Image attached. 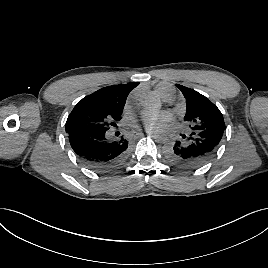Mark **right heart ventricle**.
<instances>
[{
  "label": "right heart ventricle",
  "instance_id": "obj_1",
  "mask_svg": "<svg viewBox=\"0 0 268 268\" xmlns=\"http://www.w3.org/2000/svg\"><path fill=\"white\" fill-rule=\"evenodd\" d=\"M156 91L159 94V96H161L163 99H166L172 96V91L164 85L158 86Z\"/></svg>",
  "mask_w": 268,
  "mask_h": 268
}]
</instances>
